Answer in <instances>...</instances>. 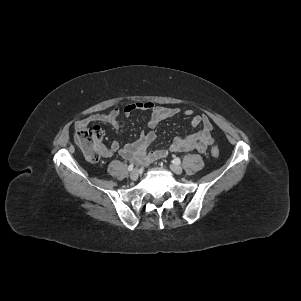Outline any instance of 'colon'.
Segmentation results:
<instances>
[{"mask_svg": "<svg viewBox=\"0 0 301 301\" xmlns=\"http://www.w3.org/2000/svg\"><path fill=\"white\" fill-rule=\"evenodd\" d=\"M103 138L102 129L97 125L78 128L75 134V141L83 151L84 156L90 162H97L101 155V141ZM220 154L219 148L213 146L211 155L217 158Z\"/></svg>", "mask_w": 301, "mask_h": 301, "instance_id": "1", "label": "colon"}]
</instances>
